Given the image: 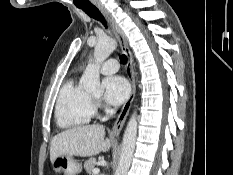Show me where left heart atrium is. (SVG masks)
<instances>
[{
    "mask_svg": "<svg viewBox=\"0 0 233 175\" xmlns=\"http://www.w3.org/2000/svg\"><path fill=\"white\" fill-rule=\"evenodd\" d=\"M103 84L105 89L104 97L113 105L123 103L129 96V84L126 79L121 76H109L103 81Z\"/></svg>",
    "mask_w": 233,
    "mask_h": 175,
    "instance_id": "39dd6f15",
    "label": "left heart atrium"
}]
</instances>
